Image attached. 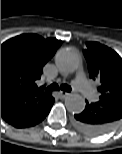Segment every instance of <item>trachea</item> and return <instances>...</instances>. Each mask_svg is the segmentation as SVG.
Here are the masks:
<instances>
[{"label": "trachea", "instance_id": "trachea-1", "mask_svg": "<svg viewBox=\"0 0 122 154\" xmlns=\"http://www.w3.org/2000/svg\"><path fill=\"white\" fill-rule=\"evenodd\" d=\"M59 89L66 91V92H70L72 90L71 87L68 86L67 84H63L59 87L57 83H53L49 87L46 88V90L48 91H57Z\"/></svg>", "mask_w": 122, "mask_h": 154}]
</instances>
